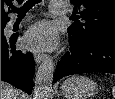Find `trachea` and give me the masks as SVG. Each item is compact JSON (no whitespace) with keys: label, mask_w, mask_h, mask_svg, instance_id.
Segmentation results:
<instances>
[{"label":"trachea","mask_w":115,"mask_h":99,"mask_svg":"<svg viewBox=\"0 0 115 99\" xmlns=\"http://www.w3.org/2000/svg\"><path fill=\"white\" fill-rule=\"evenodd\" d=\"M41 0H28L21 8H12V11L18 13L19 16H24L36 3H40Z\"/></svg>","instance_id":"1"}]
</instances>
